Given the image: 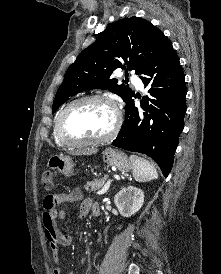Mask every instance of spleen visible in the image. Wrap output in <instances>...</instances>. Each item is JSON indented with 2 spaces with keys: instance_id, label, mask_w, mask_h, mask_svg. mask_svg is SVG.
Here are the masks:
<instances>
[{
  "instance_id": "1",
  "label": "spleen",
  "mask_w": 221,
  "mask_h": 274,
  "mask_svg": "<svg viewBox=\"0 0 221 274\" xmlns=\"http://www.w3.org/2000/svg\"><path fill=\"white\" fill-rule=\"evenodd\" d=\"M130 161L132 163L133 176L137 182H148L158 179L156 168L148 160L136 155H131Z\"/></svg>"
}]
</instances>
